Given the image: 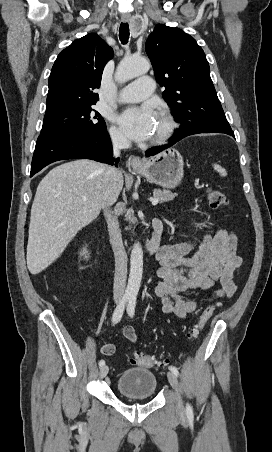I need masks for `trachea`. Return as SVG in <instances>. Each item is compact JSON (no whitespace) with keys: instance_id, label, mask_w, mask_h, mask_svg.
<instances>
[{"instance_id":"trachea-1","label":"trachea","mask_w":272,"mask_h":452,"mask_svg":"<svg viewBox=\"0 0 272 452\" xmlns=\"http://www.w3.org/2000/svg\"><path fill=\"white\" fill-rule=\"evenodd\" d=\"M129 25L128 23H121L119 28V38L122 44H126L129 39Z\"/></svg>"}]
</instances>
